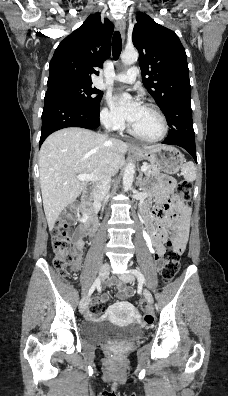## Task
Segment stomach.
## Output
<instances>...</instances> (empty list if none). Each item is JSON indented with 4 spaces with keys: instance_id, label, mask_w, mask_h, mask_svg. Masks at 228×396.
<instances>
[{
    "instance_id": "1",
    "label": "stomach",
    "mask_w": 228,
    "mask_h": 396,
    "mask_svg": "<svg viewBox=\"0 0 228 396\" xmlns=\"http://www.w3.org/2000/svg\"><path fill=\"white\" fill-rule=\"evenodd\" d=\"M134 154L139 159L148 160L167 174L177 173L185 162L183 154L178 149L166 145H158L149 150L135 149Z\"/></svg>"
}]
</instances>
